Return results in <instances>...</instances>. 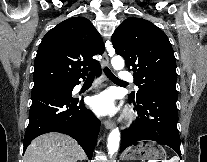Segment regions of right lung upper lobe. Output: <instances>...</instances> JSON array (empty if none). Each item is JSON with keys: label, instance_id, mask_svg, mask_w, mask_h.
Wrapping results in <instances>:
<instances>
[{"label": "right lung upper lobe", "instance_id": "cb5924a9", "mask_svg": "<svg viewBox=\"0 0 207 162\" xmlns=\"http://www.w3.org/2000/svg\"><path fill=\"white\" fill-rule=\"evenodd\" d=\"M104 52L102 38L84 17L69 18L42 39L34 63V88L64 84L85 77L99 63L92 57Z\"/></svg>", "mask_w": 207, "mask_h": 162}]
</instances>
